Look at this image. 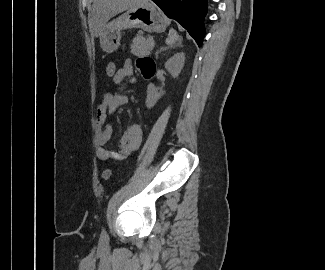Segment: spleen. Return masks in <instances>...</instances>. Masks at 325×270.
Returning a JSON list of instances; mask_svg holds the SVG:
<instances>
[{
  "instance_id": "3e777b00",
  "label": "spleen",
  "mask_w": 325,
  "mask_h": 270,
  "mask_svg": "<svg viewBox=\"0 0 325 270\" xmlns=\"http://www.w3.org/2000/svg\"><path fill=\"white\" fill-rule=\"evenodd\" d=\"M181 38L174 29H170L168 38L166 39V44H173L175 41H180Z\"/></svg>"
}]
</instances>
